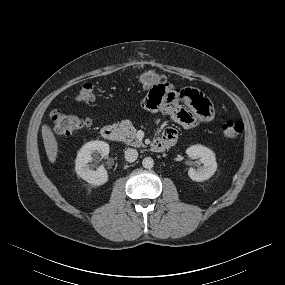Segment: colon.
<instances>
[{
    "instance_id": "colon-1",
    "label": "colon",
    "mask_w": 285,
    "mask_h": 285,
    "mask_svg": "<svg viewBox=\"0 0 285 285\" xmlns=\"http://www.w3.org/2000/svg\"><path fill=\"white\" fill-rule=\"evenodd\" d=\"M137 84L148 89L156 83L169 84L178 90L170 83L165 76L155 70H149L140 73L136 78ZM180 91V90H178ZM181 92V91H180ZM75 100L79 103L93 104L95 101L94 87L91 83H85L75 95ZM51 129L59 135L70 136L76 134L80 130L88 127L90 121L75 115L66 114L60 110H54L50 114ZM222 135L225 139H235L243 131V124L238 121H226L221 125Z\"/></svg>"
}]
</instances>
